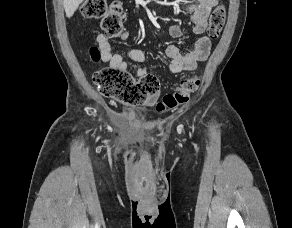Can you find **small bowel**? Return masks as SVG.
I'll return each instance as SVG.
<instances>
[{"mask_svg":"<svg viewBox=\"0 0 292 228\" xmlns=\"http://www.w3.org/2000/svg\"><path fill=\"white\" fill-rule=\"evenodd\" d=\"M218 0H191L186 5L189 13V19L192 24V34L194 40L187 52H182L176 45L170 44L165 48V54L171 59L169 71L177 74L183 71H190L197 67L199 62L205 61L211 50V41L205 35L207 28V19L210 12L217 5ZM169 34L173 38H178L186 34V30L178 25L169 28ZM97 43L101 51V57L104 62L109 63V67L127 70V62L120 54L113 53L109 37L105 34L97 36ZM129 59L134 63H142L146 59V54L141 49H134L129 52ZM148 74L147 68H139L136 71V77L141 78ZM157 95L147 99L146 105L153 106L156 103Z\"/></svg>","mask_w":292,"mask_h":228,"instance_id":"small-bowel-1","label":"small bowel"}]
</instances>
